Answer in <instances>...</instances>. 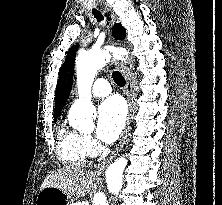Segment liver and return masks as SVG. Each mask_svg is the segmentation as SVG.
Returning a JSON list of instances; mask_svg holds the SVG:
<instances>
[{
	"mask_svg": "<svg viewBox=\"0 0 222 205\" xmlns=\"http://www.w3.org/2000/svg\"><path fill=\"white\" fill-rule=\"evenodd\" d=\"M94 181L95 177L92 172L78 166H67L51 171L42 183L41 189L56 187L63 190L69 198H79L90 192Z\"/></svg>",
	"mask_w": 222,
	"mask_h": 205,
	"instance_id": "obj_1",
	"label": "liver"
}]
</instances>
